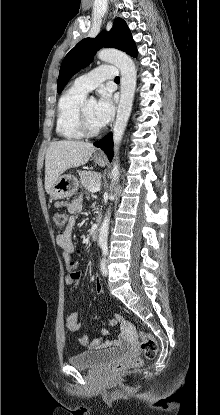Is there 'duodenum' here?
<instances>
[{"label": "duodenum", "instance_id": "obj_1", "mask_svg": "<svg viewBox=\"0 0 220 415\" xmlns=\"http://www.w3.org/2000/svg\"><path fill=\"white\" fill-rule=\"evenodd\" d=\"M100 222H101V218H100V216H97L96 220H95V223H94V226L92 228V237L95 238V239L99 235Z\"/></svg>", "mask_w": 220, "mask_h": 415}]
</instances>
